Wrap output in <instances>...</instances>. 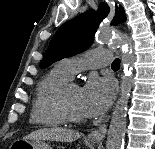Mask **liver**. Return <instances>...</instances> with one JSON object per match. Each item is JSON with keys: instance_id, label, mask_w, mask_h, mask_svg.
Masks as SVG:
<instances>
[{"instance_id": "6515ba94", "label": "liver", "mask_w": 155, "mask_h": 149, "mask_svg": "<svg viewBox=\"0 0 155 149\" xmlns=\"http://www.w3.org/2000/svg\"><path fill=\"white\" fill-rule=\"evenodd\" d=\"M80 137L81 134L78 131L62 127H53V128L38 129L25 136L23 139L24 140L43 139L58 142H73L79 139Z\"/></svg>"}]
</instances>
